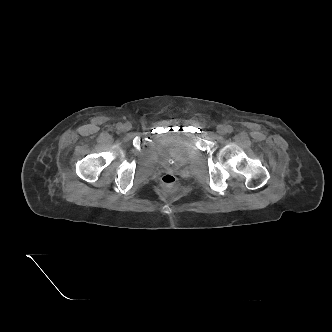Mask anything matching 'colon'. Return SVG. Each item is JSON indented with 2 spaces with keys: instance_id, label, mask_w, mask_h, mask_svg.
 Masks as SVG:
<instances>
[{
  "instance_id": "obj_1",
  "label": "colon",
  "mask_w": 332,
  "mask_h": 332,
  "mask_svg": "<svg viewBox=\"0 0 332 332\" xmlns=\"http://www.w3.org/2000/svg\"><path fill=\"white\" fill-rule=\"evenodd\" d=\"M161 186L167 194H175L180 189L179 181L173 174H165L161 179Z\"/></svg>"
}]
</instances>
